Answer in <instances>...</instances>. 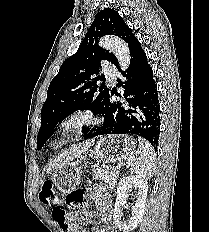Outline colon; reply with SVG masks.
Here are the masks:
<instances>
[{"label":"colon","instance_id":"1","mask_svg":"<svg viewBox=\"0 0 209 232\" xmlns=\"http://www.w3.org/2000/svg\"><path fill=\"white\" fill-rule=\"evenodd\" d=\"M42 203L51 208L53 219L62 227H67L66 212L61 203L59 195L54 190V185L51 181L43 182L42 189L39 194ZM67 201V198H66Z\"/></svg>","mask_w":209,"mask_h":232}]
</instances>
